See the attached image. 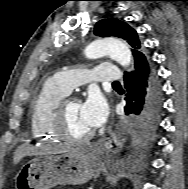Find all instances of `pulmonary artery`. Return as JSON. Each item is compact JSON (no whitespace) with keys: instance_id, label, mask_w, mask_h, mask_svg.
Returning <instances> with one entry per match:
<instances>
[{"instance_id":"1","label":"pulmonary artery","mask_w":188,"mask_h":189,"mask_svg":"<svg viewBox=\"0 0 188 189\" xmlns=\"http://www.w3.org/2000/svg\"><path fill=\"white\" fill-rule=\"evenodd\" d=\"M122 75L113 64H99L92 69H68L54 75V79L69 92L87 82H115Z\"/></svg>"}]
</instances>
